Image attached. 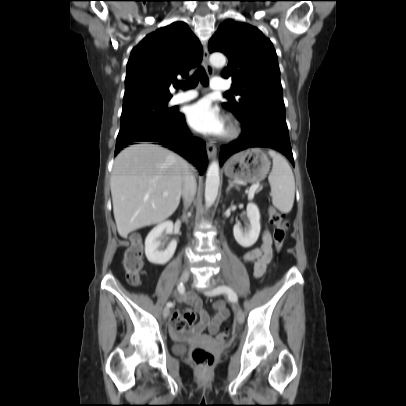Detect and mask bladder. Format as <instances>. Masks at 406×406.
<instances>
[{
	"label": "bladder",
	"mask_w": 406,
	"mask_h": 406,
	"mask_svg": "<svg viewBox=\"0 0 406 406\" xmlns=\"http://www.w3.org/2000/svg\"><path fill=\"white\" fill-rule=\"evenodd\" d=\"M186 351L185 346L183 344H176L174 345V352L176 354H184Z\"/></svg>",
	"instance_id": "1"
}]
</instances>
